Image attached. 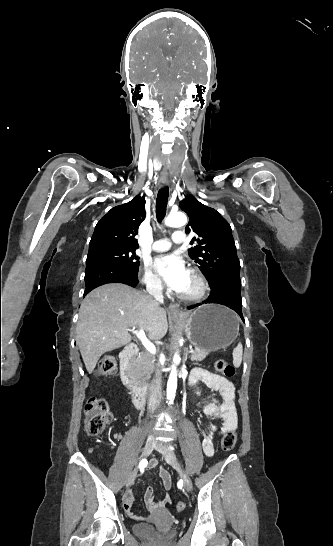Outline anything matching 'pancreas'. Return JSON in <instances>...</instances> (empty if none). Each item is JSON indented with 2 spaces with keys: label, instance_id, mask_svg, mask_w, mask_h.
Instances as JSON below:
<instances>
[{
  "label": "pancreas",
  "instance_id": "cf45deb5",
  "mask_svg": "<svg viewBox=\"0 0 333 546\" xmlns=\"http://www.w3.org/2000/svg\"><path fill=\"white\" fill-rule=\"evenodd\" d=\"M210 351L201 350L196 348L193 353H191V361L201 362L206 356H208ZM155 369V358L149 352H144L136 361V374L134 375V381L139 386H145L147 381L150 379L151 374Z\"/></svg>",
  "mask_w": 333,
  "mask_h": 546
}]
</instances>
